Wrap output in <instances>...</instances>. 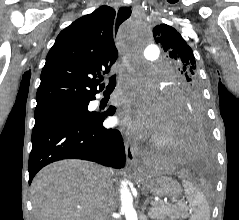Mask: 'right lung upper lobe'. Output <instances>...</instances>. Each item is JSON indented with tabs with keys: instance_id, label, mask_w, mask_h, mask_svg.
Instances as JSON below:
<instances>
[{
	"instance_id": "obj_1",
	"label": "right lung upper lobe",
	"mask_w": 239,
	"mask_h": 220,
	"mask_svg": "<svg viewBox=\"0 0 239 220\" xmlns=\"http://www.w3.org/2000/svg\"><path fill=\"white\" fill-rule=\"evenodd\" d=\"M114 19V9L101 6L60 32L41 72L36 108L95 99L94 78L108 73L118 56Z\"/></svg>"
}]
</instances>
